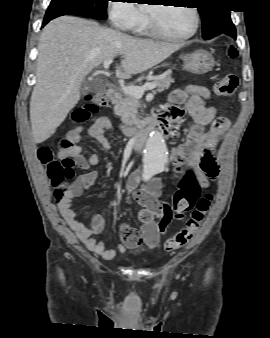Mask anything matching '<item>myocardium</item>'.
<instances>
[{"mask_svg":"<svg viewBox=\"0 0 270 338\" xmlns=\"http://www.w3.org/2000/svg\"><path fill=\"white\" fill-rule=\"evenodd\" d=\"M160 6L168 7L166 5H160ZM188 8L192 11L193 16H194V27L191 32L184 34V35H173V34L166 33L159 28L153 14L150 11H148V22H149L150 32L159 38L166 39V40H172V41H182V40H186V39L193 37L199 29L200 17H199V13L196 8L191 7V6H188Z\"/></svg>","mask_w":270,"mask_h":338,"instance_id":"1","label":"myocardium"}]
</instances>
